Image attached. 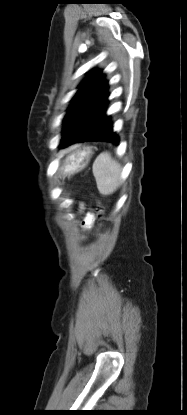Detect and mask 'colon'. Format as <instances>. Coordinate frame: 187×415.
I'll list each match as a JSON object with an SVG mask.
<instances>
[{
    "label": "colon",
    "instance_id": "5ec220e1",
    "mask_svg": "<svg viewBox=\"0 0 187 415\" xmlns=\"http://www.w3.org/2000/svg\"><path fill=\"white\" fill-rule=\"evenodd\" d=\"M97 211H98V213H99L100 215H103L104 209H103V207H102V205H101V204H98V206H97Z\"/></svg>",
    "mask_w": 187,
    "mask_h": 415
}]
</instances>
